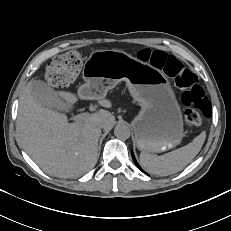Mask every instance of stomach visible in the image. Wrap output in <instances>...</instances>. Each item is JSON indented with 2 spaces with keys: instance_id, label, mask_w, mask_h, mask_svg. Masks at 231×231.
Masks as SVG:
<instances>
[{
  "instance_id": "0dacf381",
  "label": "stomach",
  "mask_w": 231,
  "mask_h": 231,
  "mask_svg": "<svg viewBox=\"0 0 231 231\" xmlns=\"http://www.w3.org/2000/svg\"><path fill=\"white\" fill-rule=\"evenodd\" d=\"M85 84L80 95L105 96L125 81L141 110L133 120L139 150L158 153L177 146L183 136V118L168 77L159 69L116 50H97L83 65Z\"/></svg>"
}]
</instances>
